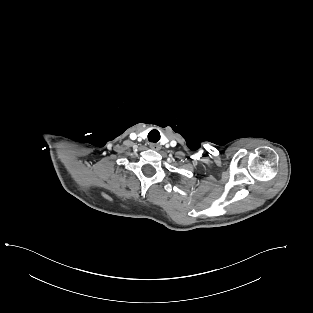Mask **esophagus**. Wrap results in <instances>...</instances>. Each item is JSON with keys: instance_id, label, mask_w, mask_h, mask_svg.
Returning <instances> with one entry per match:
<instances>
[{"instance_id": "1", "label": "esophagus", "mask_w": 313, "mask_h": 313, "mask_svg": "<svg viewBox=\"0 0 313 313\" xmlns=\"http://www.w3.org/2000/svg\"><path fill=\"white\" fill-rule=\"evenodd\" d=\"M149 147L153 150H159L160 149V145L157 143H150Z\"/></svg>"}]
</instances>
